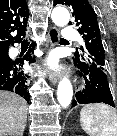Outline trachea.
Segmentation results:
<instances>
[{
    "label": "trachea",
    "mask_w": 117,
    "mask_h": 136,
    "mask_svg": "<svg viewBox=\"0 0 117 136\" xmlns=\"http://www.w3.org/2000/svg\"><path fill=\"white\" fill-rule=\"evenodd\" d=\"M60 40H61V41H66V40H65V39H63V38H60Z\"/></svg>",
    "instance_id": "3493384b"
}]
</instances>
